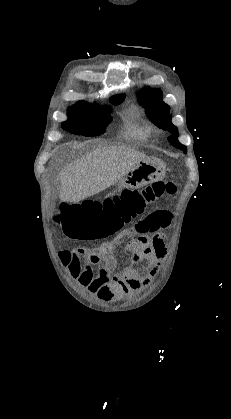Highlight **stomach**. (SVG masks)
Returning <instances> with one entry per match:
<instances>
[{
    "label": "stomach",
    "instance_id": "0dacf381",
    "mask_svg": "<svg viewBox=\"0 0 231 419\" xmlns=\"http://www.w3.org/2000/svg\"><path fill=\"white\" fill-rule=\"evenodd\" d=\"M165 164L156 159L146 157L139 160L134 167L118 181V189H139L147 184L162 180L165 177Z\"/></svg>",
    "mask_w": 231,
    "mask_h": 419
}]
</instances>
